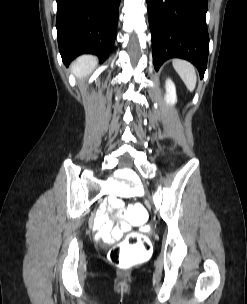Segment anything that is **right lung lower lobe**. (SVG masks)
<instances>
[{"label":"right lung lower lobe","mask_w":247,"mask_h":304,"mask_svg":"<svg viewBox=\"0 0 247 304\" xmlns=\"http://www.w3.org/2000/svg\"><path fill=\"white\" fill-rule=\"evenodd\" d=\"M57 37L63 62L89 53L100 62L110 54L116 38L120 0H56Z\"/></svg>","instance_id":"98d812e1"}]
</instances>
